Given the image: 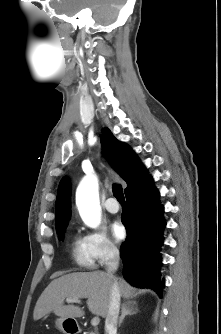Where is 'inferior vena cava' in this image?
Segmentation results:
<instances>
[{
  "instance_id": "1",
  "label": "inferior vena cava",
  "mask_w": 221,
  "mask_h": 334,
  "mask_svg": "<svg viewBox=\"0 0 221 334\" xmlns=\"http://www.w3.org/2000/svg\"><path fill=\"white\" fill-rule=\"evenodd\" d=\"M119 251L116 247L110 246L108 249V260L106 263V271L109 276H113V273L117 270L119 265ZM120 289L118 283L114 281L111 287L110 302L108 313L105 319V331L106 334H116L117 320L120 310Z\"/></svg>"
}]
</instances>
